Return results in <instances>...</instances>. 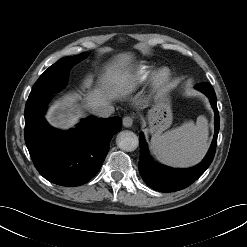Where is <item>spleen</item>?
<instances>
[{
  "label": "spleen",
  "mask_w": 247,
  "mask_h": 247,
  "mask_svg": "<svg viewBox=\"0 0 247 247\" xmlns=\"http://www.w3.org/2000/svg\"><path fill=\"white\" fill-rule=\"evenodd\" d=\"M208 121L203 115L196 123L187 121L170 131L155 133L151 147L156 157L173 167H188L200 162L205 156L208 143Z\"/></svg>",
  "instance_id": "obj_1"
}]
</instances>
